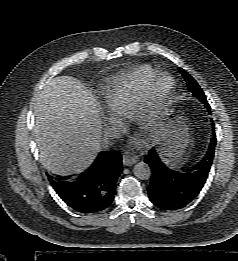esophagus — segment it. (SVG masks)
I'll return each instance as SVG.
<instances>
[{
  "label": "esophagus",
  "mask_w": 238,
  "mask_h": 261,
  "mask_svg": "<svg viewBox=\"0 0 238 261\" xmlns=\"http://www.w3.org/2000/svg\"><path fill=\"white\" fill-rule=\"evenodd\" d=\"M137 161L135 156L131 155H123V165L124 166H130L134 164Z\"/></svg>",
  "instance_id": "obj_1"
}]
</instances>
